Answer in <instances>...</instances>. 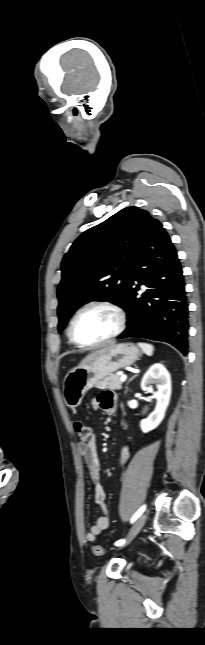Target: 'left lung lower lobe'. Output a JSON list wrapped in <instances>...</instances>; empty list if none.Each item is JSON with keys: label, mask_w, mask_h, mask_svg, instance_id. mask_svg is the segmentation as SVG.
I'll return each mask as SVG.
<instances>
[{"label": "left lung lower lobe", "mask_w": 205, "mask_h": 645, "mask_svg": "<svg viewBox=\"0 0 205 645\" xmlns=\"http://www.w3.org/2000/svg\"><path fill=\"white\" fill-rule=\"evenodd\" d=\"M139 282L147 287L137 296ZM127 329L118 338L141 337L170 343L188 353V303L177 251L161 223L153 219L135 252L128 291L121 306Z\"/></svg>", "instance_id": "1"}]
</instances>
